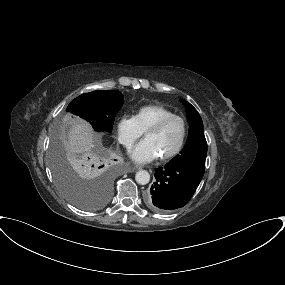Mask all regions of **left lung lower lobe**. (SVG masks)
Returning <instances> with one entry per match:
<instances>
[{
	"mask_svg": "<svg viewBox=\"0 0 285 285\" xmlns=\"http://www.w3.org/2000/svg\"><path fill=\"white\" fill-rule=\"evenodd\" d=\"M154 175L156 181L146 195V204L161 213L185 206L202 180V175L170 164L157 168Z\"/></svg>",
	"mask_w": 285,
	"mask_h": 285,
	"instance_id": "obj_1",
	"label": "left lung lower lobe"
}]
</instances>
